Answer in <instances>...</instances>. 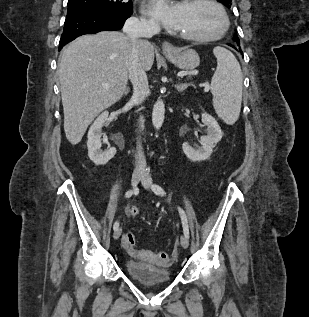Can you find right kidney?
Instances as JSON below:
<instances>
[{"label": "right kidney", "mask_w": 309, "mask_h": 317, "mask_svg": "<svg viewBox=\"0 0 309 317\" xmlns=\"http://www.w3.org/2000/svg\"><path fill=\"white\" fill-rule=\"evenodd\" d=\"M108 112L100 114L88 131V156L96 165H105L116 154V148L112 147L106 151L101 150L102 127L108 121Z\"/></svg>", "instance_id": "right-kidney-1"}]
</instances>
